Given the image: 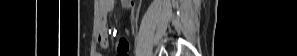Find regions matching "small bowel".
<instances>
[{
    "instance_id": "small-bowel-1",
    "label": "small bowel",
    "mask_w": 297,
    "mask_h": 56,
    "mask_svg": "<svg viewBox=\"0 0 297 56\" xmlns=\"http://www.w3.org/2000/svg\"><path fill=\"white\" fill-rule=\"evenodd\" d=\"M114 0H101L99 1L100 8V22L98 28V43L102 48L109 47V34L107 26V14L113 9ZM118 56H128L129 43L126 39L122 38L116 45ZM96 56H101L97 53Z\"/></svg>"
}]
</instances>
